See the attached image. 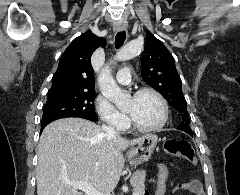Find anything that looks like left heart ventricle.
<instances>
[{
  "instance_id": "obj_1",
  "label": "left heart ventricle",
  "mask_w": 240,
  "mask_h": 195,
  "mask_svg": "<svg viewBox=\"0 0 240 195\" xmlns=\"http://www.w3.org/2000/svg\"><path fill=\"white\" fill-rule=\"evenodd\" d=\"M123 112L128 113L140 126L155 125L161 118V105L158 99L149 93L125 101Z\"/></svg>"
}]
</instances>
